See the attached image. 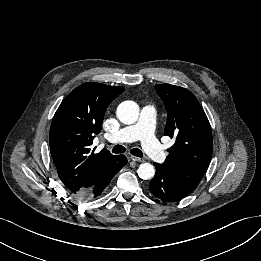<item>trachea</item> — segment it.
<instances>
[{
  "label": "trachea",
  "instance_id": "obj_1",
  "mask_svg": "<svg viewBox=\"0 0 261 261\" xmlns=\"http://www.w3.org/2000/svg\"><path fill=\"white\" fill-rule=\"evenodd\" d=\"M125 151H126V148L123 147L122 145H116V146H114L113 149H112V152H113V153H117V154H119V153H124ZM130 153H131L132 155L136 156V157H143L142 151H141L140 149H138V148H133V149L130 151Z\"/></svg>",
  "mask_w": 261,
  "mask_h": 261
}]
</instances>
